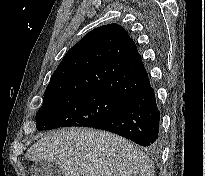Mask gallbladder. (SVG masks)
I'll list each match as a JSON object with an SVG mask.
<instances>
[{
  "label": "gallbladder",
  "instance_id": "bac80fb5",
  "mask_svg": "<svg viewBox=\"0 0 205 176\" xmlns=\"http://www.w3.org/2000/svg\"><path fill=\"white\" fill-rule=\"evenodd\" d=\"M31 176H64L62 168L50 161H40L32 164Z\"/></svg>",
  "mask_w": 205,
  "mask_h": 176
}]
</instances>
